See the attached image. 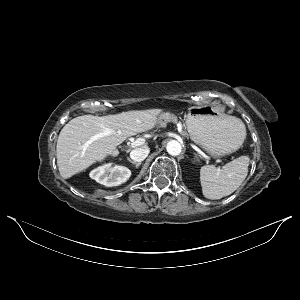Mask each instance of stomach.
Instances as JSON below:
<instances>
[{"instance_id":"obj_1","label":"stomach","mask_w":300,"mask_h":300,"mask_svg":"<svg viewBox=\"0 0 300 300\" xmlns=\"http://www.w3.org/2000/svg\"><path fill=\"white\" fill-rule=\"evenodd\" d=\"M186 126L191 138L215 158L235 152L245 139L233 119L211 106L191 107Z\"/></svg>"}]
</instances>
